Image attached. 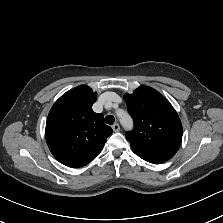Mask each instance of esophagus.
Here are the masks:
<instances>
[{"mask_svg": "<svg viewBox=\"0 0 223 223\" xmlns=\"http://www.w3.org/2000/svg\"><path fill=\"white\" fill-rule=\"evenodd\" d=\"M112 129L114 132H118L120 130V126L118 123H115L112 125Z\"/></svg>", "mask_w": 223, "mask_h": 223, "instance_id": "34e87169", "label": "esophagus"}]
</instances>
